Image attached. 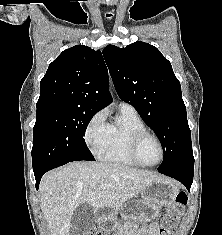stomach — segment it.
I'll return each instance as SVG.
<instances>
[{
  "label": "stomach",
  "instance_id": "1",
  "mask_svg": "<svg viewBox=\"0 0 222 235\" xmlns=\"http://www.w3.org/2000/svg\"><path fill=\"white\" fill-rule=\"evenodd\" d=\"M178 193L179 185L176 182L166 179L154 181L141 192L140 199L129 200L100 216L98 225L105 232H114L125 222L130 229L124 230V234L148 235V223L158 216L164 206L174 202ZM118 212L121 213V220L118 219Z\"/></svg>",
  "mask_w": 222,
  "mask_h": 235
}]
</instances>
